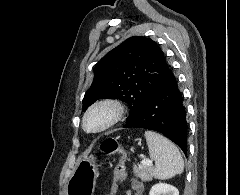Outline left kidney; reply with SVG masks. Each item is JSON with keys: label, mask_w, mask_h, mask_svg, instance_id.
<instances>
[{"label": "left kidney", "mask_w": 240, "mask_h": 195, "mask_svg": "<svg viewBox=\"0 0 240 195\" xmlns=\"http://www.w3.org/2000/svg\"><path fill=\"white\" fill-rule=\"evenodd\" d=\"M149 195H179V191L170 183H155L152 185Z\"/></svg>", "instance_id": "5707ae66"}]
</instances>
